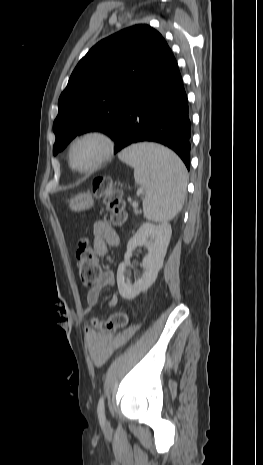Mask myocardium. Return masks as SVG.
I'll use <instances>...</instances> for the list:
<instances>
[{
    "label": "myocardium",
    "mask_w": 263,
    "mask_h": 465,
    "mask_svg": "<svg viewBox=\"0 0 263 465\" xmlns=\"http://www.w3.org/2000/svg\"><path fill=\"white\" fill-rule=\"evenodd\" d=\"M91 137L98 138L103 142L104 151L102 155L99 157V159L92 166L85 168V169H79L75 167L73 164L72 150L74 146L76 145V143H78L79 141L83 139L91 138ZM114 150H115V141L108 132L102 129H89L75 136L69 143L68 151H67L68 162H69L70 167L78 173H82V174L93 173L97 171L98 169H100L105 163H107L112 158L114 154Z\"/></svg>",
    "instance_id": "1"
}]
</instances>
